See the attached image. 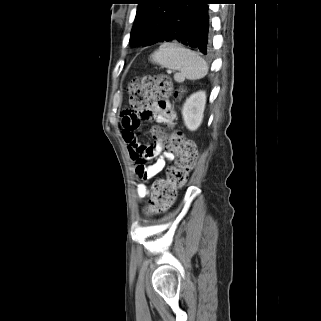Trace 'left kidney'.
Instances as JSON below:
<instances>
[{
    "instance_id": "left-kidney-1",
    "label": "left kidney",
    "mask_w": 321,
    "mask_h": 321,
    "mask_svg": "<svg viewBox=\"0 0 321 321\" xmlns=\"http://www.w3.org/2000/svg\"><path fill=\"white\" fill-rule=\"evenodd\" d=\"M206 104L205 91L193 93L182 107V116L186 127L195 131L201 125Z\"/></svg>"
}]
</instances>
